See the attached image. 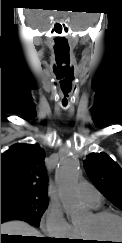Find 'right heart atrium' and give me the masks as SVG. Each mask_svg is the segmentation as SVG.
<instances>
[{"label":"right heart atrium","instance_id":"1","mask_svg":"<svg viewBox=\"0 0 122 243\" xmlns=\"http://www.w3.org/2000/svg\"><path fill=\"white\" fill-rule=\"evenodd\" d=\"M42 228L48 236L56 239L75 238L78 235L75 227L65 219L57 205H51L47 209Z\"/></svg>","mask_w":122,"mask_h":243}]
</instances>
